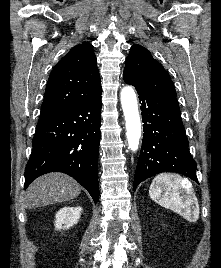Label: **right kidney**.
Instances as JSON below:
<instances>
[{"label": "right kidney", "instance_id": "1", "mask_svg": "<svg viewBox=\"0 0 221 268\" xmlns=\"http://www.w3.org/2000/svg\"><path fill=\"white\" fill-rule=\"evenodd\" d=\"M81 207H64L56 213L55 228L68 229L76 224L80 218Z\"/></svg>", "mask_w": 221, "mask_h": 268}]
</instances>
